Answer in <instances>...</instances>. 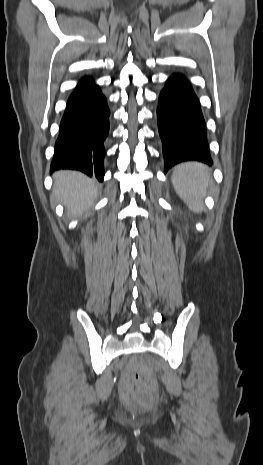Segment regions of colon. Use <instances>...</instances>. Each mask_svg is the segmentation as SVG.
<instances>
[{
    "label": "colon",
    "mask_w": 263,
    "mask_h": 465,
    "mask_svg": "<svg viewBox=\"0 0 263 465\" xmlns=\"http://www.w3.org/2000/svg\"><path fill=\"white\" fill-rule=\"evenodd\" d=\"M152 389L153 385L149 381L141 376L137 378L136 395L138 399L147 406L152 405L154 401Z\"/></svg>",
    "instance_id": "1"
}]
</instances>
